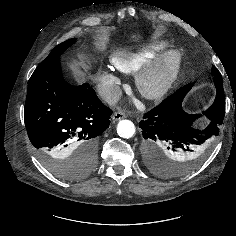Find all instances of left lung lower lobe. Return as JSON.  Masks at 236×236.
Here are the masks:
<instances>
[{"instance_id": "left-lung-lower-lobe-1", "label": "left lung lower lobe", "mask_w": 236, "mask_h": 236, "mask_svg": "<svg viewBox=\"0 0 236 236\" xmlns=\"http://www.w3.org/2000/svg\"><path fill=\"white\" fill-rule=\"evenodd\" d=\"M211 72L217 94L214 103L204 112L211 121L204 130L193 127L201 114L190 115L182 109V101L193 83L181 87L140 121L146 162L151 169L167 174L174 171L169 160L184 164L199 159L205 141L218 135V126L225 115V96L220 72L215 66Z\"/></svg>"}]
</instances>
